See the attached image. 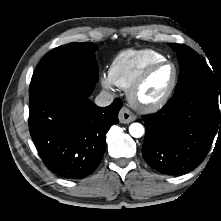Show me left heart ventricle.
I'll list each match as a JSON object with an SVG mask.
<instances>
[{"instance_id":"b2bd125f","label":"left heart ventricle","mask_w":221,"mask_h":221,"mask_svg":"<svg viewBox=\"0 0 221 221\" xmlns=\"http://www.w3.org/2000/svg\"><path fill=\"white\" fill-rule=\"evenodd\" d=\"M173 76L170 65L155 69L139 91V99L143 102H152L158 99L169 86Z\"/></svg>"}]
</instances>
